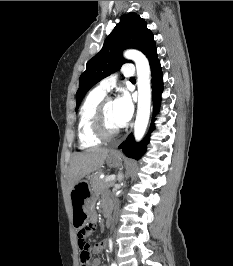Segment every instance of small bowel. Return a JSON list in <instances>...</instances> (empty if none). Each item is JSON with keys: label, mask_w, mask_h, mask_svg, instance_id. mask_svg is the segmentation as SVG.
Returning <instances> with one entry per match:
<instances>
[{"label": "small bowel", "mask_w": 233, "mask_h": 266, "mask_svg": "<svg viewBox=\"0 0 233 266\" xmlns=\"http://www.w3.org/2000/svg\"><path fill=\"white\" fill-rule=\"evenodd\" d=\"M92 221H96L95 215L92 216ZM91 232H87L85 235V238L90 234ZM105 247V243H97L94 246L90 247V251L93 253H99L103 248ZM88 266H101V260L100 258H94L91 262H89Z\"/></svg>", "instance_id": "1"}]
</instances>
